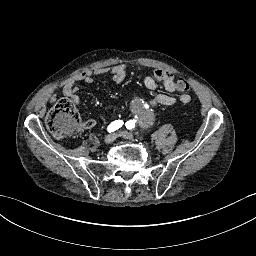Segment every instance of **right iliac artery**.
<instances>
[{
  "label": "right iliac artery",
  "mask_w": 256,
  "mask_h": 256,
  "mask_svg": "<svg viewBox=\"0 0 256 256\" xmlns=\"http://www.w3.org/2000/svg\"><path fill=\"white\" fill-rule=\"evenodd\" d=\"M122 125H123V121L122 120H115L114 122H112L108 126L107 130H108L109 133H111V132H114L117 129H119Z\"/></svg>",
  "instance_id": "1"
}]
</instances>
